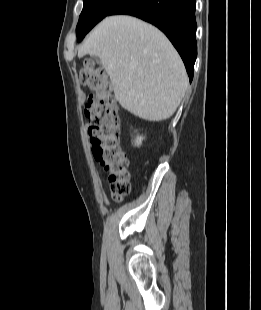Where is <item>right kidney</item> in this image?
I'll return each instance as SVG.
<instances>
[{"instance_id":"obj_1","label":"right kidney","mask_w":261,"mask_h":310,"mask_svg":"<svg viewBox=\"0 0 261 310\" xmlns=\"http://www.w3.org/2000/svg\"><path fill=\"white\" fill-rule=\"evenodd\" d=\"M143 139H144L143 136H137L135 141H134L135 146L139 147L142 144Z\"/></svg>"}]
</instances>
